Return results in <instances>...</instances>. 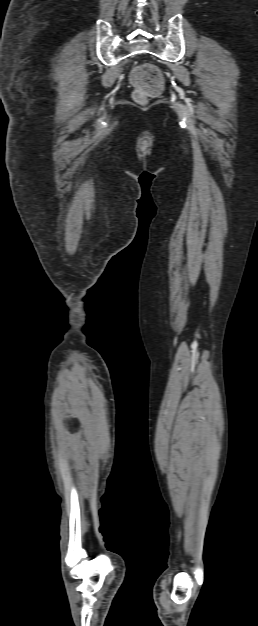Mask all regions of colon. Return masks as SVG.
Segmentation results:
<instances>
[{
    "instance_id": "1",
    "label": "colon",
    "mask_w": 258,
    "mask_h": 626,
    "mask_svg": "<svg viewBox=\"0 0 258 626\" xmlns=\"http://www.w3.org/2000/svg\"><path fill=\"white\" fill-rule=\"evenodd\" d=\"M131 82L135 87L134 100L141 104L157 96L163 88L162 75L151 64H142L134 68L131 74Z\"/></svg>"
}]
</instances>
